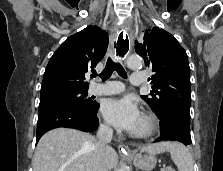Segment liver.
Segmentation results:
<instances>
[{"mask_svg": "<svg viewBox=\"0 0 223 171\" xmlns=\"http://www.w3.org/2000/svg\"><path fill=\"white\" fill-rule=\"evenodd\" d=\"M96 139L85 132L69 128L53 129L39 140L33 158V171H92ZM167 143L141 148L142 152L160 154ZM108 171L118 162L116 151L108 146L104 152Z\"/></svg>", "mask_w": 223, "mask_h": 171, "instance_id": "liver-1", "label": "liver"}]
</instances>
